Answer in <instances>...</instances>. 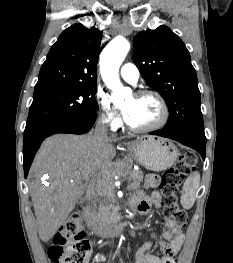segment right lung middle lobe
<instances>
[{
	"label": "right lung middle lobe",
	"mask_w": 233,
	"mask_h": 263,
	"mask_svg": "<svg viewBox=\"0 0 233 263\" xmlns=\"http://www.w3.org/2000/svg\"><path fill=\"white\" fill-rule=\"evenodd\" d=\"M97 85H79L33 96L25 131L43 124L95 112Z\"/></svg>",
	"instance_id": "dd1d6c3e"
}]
</instances>
